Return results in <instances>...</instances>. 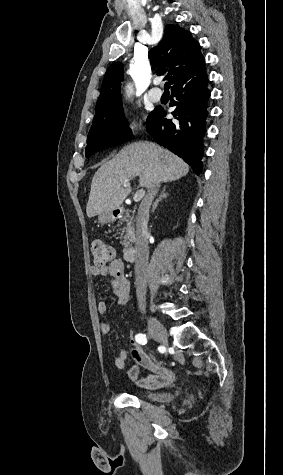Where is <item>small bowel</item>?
I'll return each mask as SVG.
<instances>
[{
  "label": "small bowel",
  "instance_id": "1",
  "mask_svg": "<svg viewBox=\"0 0 283 475\" xmlns=\"http://www.w3.org/2000/svg\"><path fill=\"white\" fill-rule=\"evenodd\" d=\"M89 273L93 277L109 276L112 279V293L119 305H125L129 302L131 296V284L124 274V264L121 259L115 258L108 264H92L89 267ZM97 312L99 316L104 317L108 312V305L104 301L97 304ZM111 330L110 324L106 321L101 322V331L108 334ZM131 356L133 365L127 372V377L140 387L156 389L172 384L175 380L174 372L150 358L143 347L136 344L131 335ZM128 359V351L125 347L114 359L115 367L119 370L125 368ZM146 369L150 374L139 378L141 369Z\"/></svg>",
  "mask_w": 283,
  "mask_h": 475
}]
</instances>
